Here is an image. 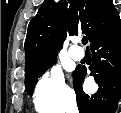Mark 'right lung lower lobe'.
I'll return each mask as SVG.
<instances>
[{"label":"right lung lower lobe","instance_id":"98d812e1","mask_svg":"<svg viewBox=\"0 0 121 113\" xmlns=\"http://www.w3.org/2000/svg\"><path fill=\"white\" fill-rule=\"evenodd\" d=\"M93 53L91 75L99 85L97 93L85 94L81 83L86 68L77 67L73 85L80 113H114L121 97V23L90 45Z\"/></svg>","mask_w":121,"mask_h":113}]
</instances>
